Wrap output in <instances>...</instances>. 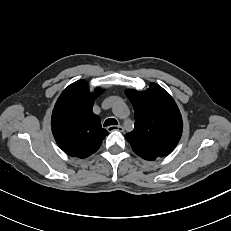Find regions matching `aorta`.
<instances>
[{
	"label": "aorta",
	"instance_id": "762f6f07",
	"mask_svg": "<svg viewBox=\"0 0 231 231\" xmlns=\"http://www.w3.org/2000/svg\"><path fill=\"white\" fill-rule=\"evenodd\" d=\"M113 112L120 118H123L127 112V106L123 102H117L113 105Z\"/></svg>",
	"mask_w": 231,
	"mask_h": 231
}]
</instances>
